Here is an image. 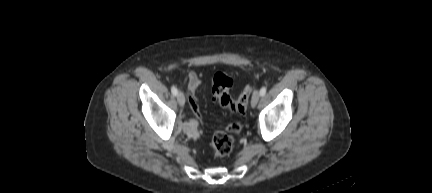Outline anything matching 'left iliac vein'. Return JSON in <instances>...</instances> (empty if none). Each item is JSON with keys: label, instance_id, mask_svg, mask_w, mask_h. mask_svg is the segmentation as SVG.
<instances>
[{"label": "left iliac vein", "instance_id": "4c4485c4", "mask_svg": "<svg viewBox=\"0 0 432 193\" xmlns=\"http://www.w3.org/2000/svg\"><path fill=\"white\" fill-rule=\"evenodd\" d=\"M259 99H260V93L258 90H255L253 92L252 99H251V106L253 108L257 106Z\"/></svg>", "mask_w": 432, "mask_h": 193}]
</instances>
